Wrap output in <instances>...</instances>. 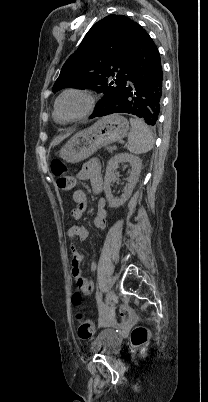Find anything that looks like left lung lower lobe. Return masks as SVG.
<instances>
[{"mask_svg": "<svg viewBox=\"0 0 208 402\" xmlns=\"http://www.w3.org/2000/svg\"><path fill=\"white\" fill-rule=\"evenodd\" d=\"M127 62L128 72L114 98L95 117L129 113L154 126L158 121L163 95L162 64L157 46L136 22L128 44Z\"/></svg>", "mask_w": 208, "mask_h": 402, "instance_id": "0a47b994", "label": "left lung lower lobe"}]
</instances>
